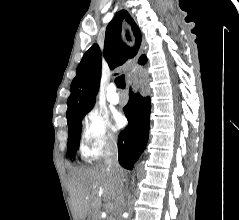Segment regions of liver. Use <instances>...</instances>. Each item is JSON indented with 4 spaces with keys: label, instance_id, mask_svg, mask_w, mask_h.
Wrapping results in <instances>:
<instances>
[{
    "label": "liver",
    "instance_id": "6515ba94",
    "mask_svg": "<svg viewBox=\"0 0 239 220\" xmlns=\"http://www.w3.org/2000/svg\"><path fill=\"white\" fill-rule=\"evenodd\" d=\"M123 178V169L116 172L105 164L74 171L69 190L77 217L80 220H101L102 201H113L117 213H121L124 198L118 186Z\"/></svg>",
    "mask_w": 239,
    "mask_h": 220
}]
</instances>
